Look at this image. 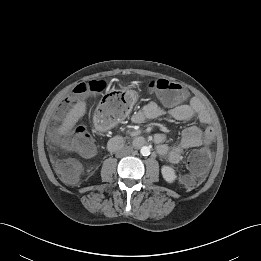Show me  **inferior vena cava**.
Instances as JSON below:
<instances>
[{
  "label": "inferior vena cava",
  "instance_id": "obj_1",
  "mask_svg": "<svg viewBox=\"0 0 261 261\" xmlns=\"http://www.w3.org/2000/svg\"><path fill=\"white\" fill-rule=\"evenodd\" d=\"M133 152V148L130 146H125L120 149L119 154L120 155H129Z\"/></svg>",
  "mask_w": 261,
  "mask_h": 261
}]
</instances>
